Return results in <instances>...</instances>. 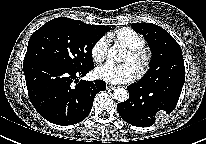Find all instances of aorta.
Instances as JSON below:
<instances>
[{"label":"aorta","mask_w":206,"mask_h":144,"mask_svg":"<svg viewBox=\"0 0 206 144\" xmlns=\"http://www.w3.org/2000/svg\"><path fill=\"white\" fill-rule=\"evenodd\" d=\"M108 54L112 59L120 62L125 54V50L120 45H113ZM114 98L118 102H124L129 98V93L124 88H117L114 90Z\"/></svg>","instance_id":"obj_1"}]
</instances>
